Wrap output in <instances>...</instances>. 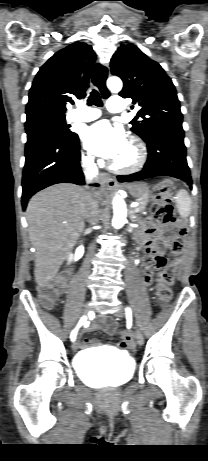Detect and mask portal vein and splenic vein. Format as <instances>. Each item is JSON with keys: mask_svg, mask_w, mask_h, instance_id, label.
<instances>
[{"mask_svg": "<svg viewBox=\"0 0 208 461\" xmlns=\"http://www.w3.org/2000/svg\"><path fill=\"white\" fill-rule=\"evenodd\" d=\"M138 206H139V203H137V202H133V203L131 204V207H132L133 209H135V210H137V207H138Z\"/></svg>", "mask_w": 208, "mask_h": 461, "instance_id": "obj_1", "label": "portal vein and splenic vein"}]
</instances>
